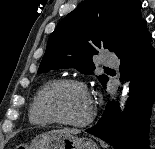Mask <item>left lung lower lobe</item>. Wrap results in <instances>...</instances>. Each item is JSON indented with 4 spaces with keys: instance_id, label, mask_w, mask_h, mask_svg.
<instances>
[{
    "instance_id": "obj_1",
    "label": "left lung lower lobe",
    "mask_w": 155,
    "mask_h": 149,
    "mask_svg": "<svg viewBox=\"0 0 155 149\" xmlns=\"http://www.w3.org/2000/svg\"><path fill=\"white\" fill-rule=\"evenodd\" d=\"M115 53L121 60V79L131 81L125 111L121 114L119 103L109 101L102 118L86 132L115 149H148V126L155 96V49L145 21Z\"/></svg>"
}]
</instances>
